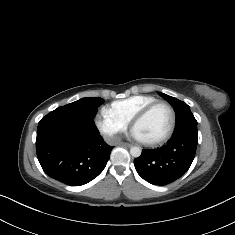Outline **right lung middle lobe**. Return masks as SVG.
Returning <instances> with one entry per match:
<instances>
[{"label": "right lung middle lobe", "mask_w": 235, "mask_h": 235, "mask_svg": "<svg viewBox=\"0 0 235 235\" xmlns=\"http://www.w3.org/2000/svg\"><path fill=\"white\" fill-rule=\"evenodd\" d=\"M104 102L102 98H82L73 103L59 107V110H68L94 118L97 108Z\"/></svg>", "instance_id": "obj_1"}]
</instances>
